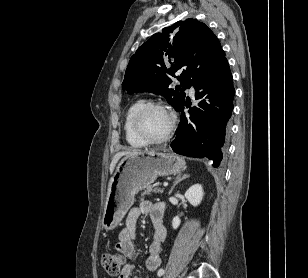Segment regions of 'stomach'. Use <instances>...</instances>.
Wrapping results in <instances>:
<instances>
[{"label":"stomach","mask_w":308,"mask_h":278,"mask_svg":"<svg viewBox=\"0 0 308 278\" xmlns=\"http://www.w3.org/2000/svg\"><path fill=\"white\" fill-rule=\"evenodd\" d=\"M184 168V159L173 153L151 151L126 155L108 184L102 228L114 229L133 205L135 195L158 176L177 174Z\"/></svg>","instance_id":"0dacf381"}]
</instances>
